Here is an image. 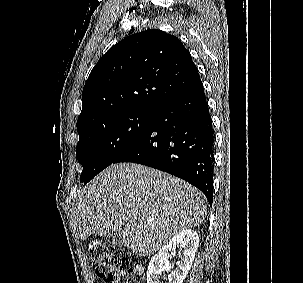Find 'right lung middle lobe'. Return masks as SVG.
Listing matches in <instances>:
<instances>
[{"mask_svg": "<svg viewBox=\"0 0 303 283\" xmlns=\"http://www.w3.org/2000/svg\"><path fill=\"white\" fill-rule=\"evenodd\" d=\"M152 117L153 111L134 110L79 131L76 155L83 166L81 181L89 182L112 164L145 132Z\"/></svg>", "mask_w": 303, "mask_h": 283, "instance_id": "dd1d6c3e", "label": "right lung middle lobe"}]
</instances>
